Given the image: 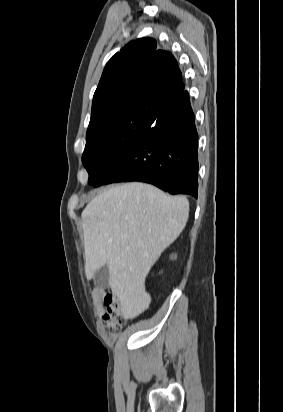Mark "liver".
Instances as JSON below:
<instances>
[{
	"instance_id": "obj_1",
	"label": "liver",
	"mask_w": 283,
	"mask_h": 412,
	"mask_svg": "<svg viewBox=\"0 0 283 412\" xmlns=\"http://www.w3.org/2000/svg\"><path fill=\"white\" fill-rule=\"evenodd\" d=\"M188 216L186 197H171L138 182L110 187L83 210L86 277L108 266L109 286L124 318H134L149 306L146 276L181 234Z\"/></svg>"
}]
</instances>
